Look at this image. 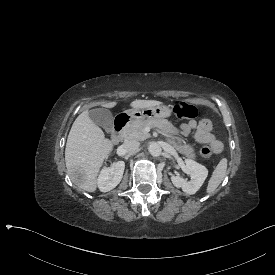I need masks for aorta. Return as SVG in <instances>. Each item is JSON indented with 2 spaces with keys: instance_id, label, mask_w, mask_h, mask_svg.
<instances>
[{
  "instance_id": "762f6f07",
  "label": "aorta",
  "mask_w": 275,
  "mask_h": 275,
  "mask_svg": "<svg viewBox=\"0 0 275 275\" xmlns=\"http://www.w3.org/2000/svg\"><path fill=\"white\" fill-rule=\"evenodd\" d=\"M149 152L153 157H158L162 153V148L158 143H151L149 145Z\"/></svg>"
}]
</instances>
